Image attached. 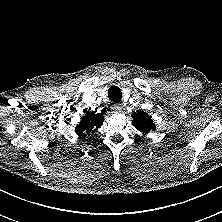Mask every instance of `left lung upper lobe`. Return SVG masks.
I'll return each instance as SVG.
<instances>
[{
	"instance_id": "left-lung-upper-lobe-1",
	"label": "left lung upper lobe",
	"mask_w": 222,
	"mask_h": 222,
	"mask_svg": "<svg viewBox=\"0 0 222 222\" xmlns=\"http://www.w3.org/2000/svg\"><path fill=\"white\" fill-rule=\"evenodd\" d=\"M133 125L143 134H148L151 131H155L156 127L149 115L143 111H138L132 114Z\"/></svg>"
}]
</instances>
